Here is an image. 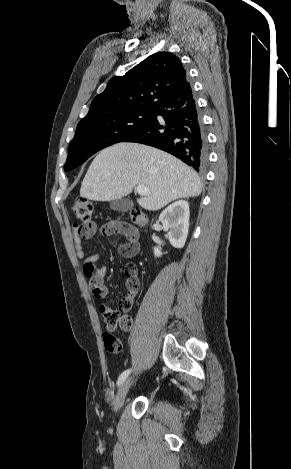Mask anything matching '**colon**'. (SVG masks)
<instances>
[{
    "instance_id": "5ec220e1",
    "label": "colon",
    "mask_w": 291,
    "mask_h": 469,
    "mask_svg": "<svg viewBox=\"0 0 291 469\" xmlns=\"http://www.w3.org/2000/svg\"><path fill=\"white\" fill-rule=\"evenodd\" d=\"M72 213L79 221H81V225H79L81 230L86 232L89 224L91 223L93 214L92 203L85 198H78L72 206ZM130 216L135 223L143 224L145 222V216L139 208H133L130 212ZM133 251L134 247L128 242L120 247V252L123 255L130 254ZM125 273L127 276L128 287L126 296L120 301L119 310L101 307L104 322L108 329V332L103 334L104 347L106 351L114 354L121 351V342L111 332L116 330L118 327L123 329H130L132 327L131 318L128 316H122L120 312H126L131 308L133 299L139 289L137 266L134 263L126 264Z\"/></svg>"
}]
</instances>
